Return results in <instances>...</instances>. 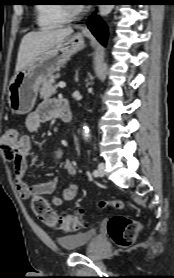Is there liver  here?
<instances>
[{
  "instance_id": "liver-1",
  "label": "liver",
  "mask_w": 174,
  "mask_h": 278,
  "mask_svg": "<svg viewBox=\"0 0 174 278\" xmlns=\"http://www.w3.org/2000/svg\"><path fill=\"white\" fill-rule=\"evenodd\" d=\"M72 33L73 29L71 27L27 33L22 38L19 46L15 73L23 70L38 55L55 46Z\"/></svg>"
}]
</instances>
